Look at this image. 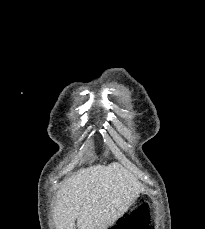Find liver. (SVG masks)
<instances>
[{
  "label": "liver",
  "instance_id": "obj_1",
  "mask_svg": "<svg viewBox=\"0 0 205 229\" xmlns=\"http://www.w3.org/2000/svg\"><path fill=\"white\" fill-rule=\"evenodd\" d=\"M136 178L118 163L84 168L58 192L57 229H107L130 207Z\"/></svg>",
  "mask_w": 205,
  "mask_h": 229
}]
</instances>
